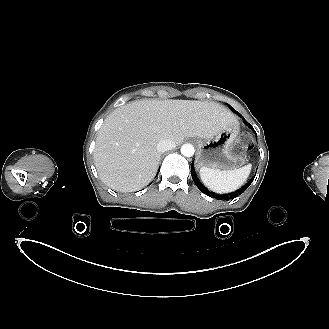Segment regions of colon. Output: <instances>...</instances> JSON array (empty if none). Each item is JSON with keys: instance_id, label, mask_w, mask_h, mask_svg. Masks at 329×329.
Here are the masks:
<instances>
[{"instance_id": "5ec220e1", "label": "colon", "mask_w": 329, "mask_h": 329, "mask_svg": "<svg viewBox=\"0 0 329 329\" xmlns=\"http://www.w3.org/2000/svg\"><path fill=\"white\" fill-rule=\"evenodd\" d=\"M242 143L247 145L248 147L252 146V138L249 134H245L242 138Z\"/></svg>"}]
</instances>
